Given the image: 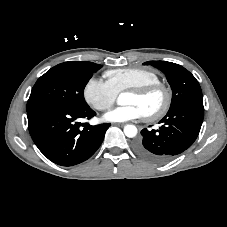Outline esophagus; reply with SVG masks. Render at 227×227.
<instances>
[{
  "mask_svg": "<svg viewBox=\"0 0 227 227\" xmlns=\"http://www.w3.org/2000/svg\"><path fill=\"white\" fill-rule=\"evenodd\" d=\"M114 125L123 127L125 124L124 123H115Z\"/></svg>",
  "mask_w": 227,
  "mask_h": 227,
  "instance_id": "1",
  "label": "esophagus"
}]
</instances>
